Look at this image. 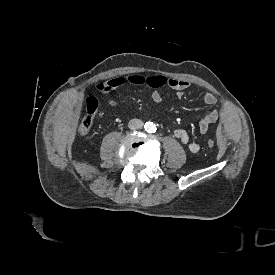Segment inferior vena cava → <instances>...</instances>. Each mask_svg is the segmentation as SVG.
<instances>
[{
    "mask_svg": "<svg viewBox=\"0 0 275 275\" xmlns=\"http://www.w3.org/2000/svg\"><path fill=\"white\" fill-rule=\"evenodd\" d=\"M143 121L140 120V119H131L129 122H128V128L129 129H132V130H137V129H141L143 127Z\"/></svg>",
    "mask_w": 275,
    "mask_h": 275,
    "instance_id": "obj_1",
    "label": "inferior vena cava"
}]
</instances>
